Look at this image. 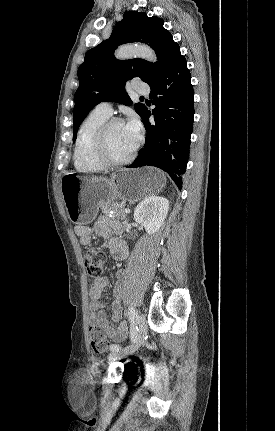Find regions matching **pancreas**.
Listing matches in <instances>:
<instances>
[{
  "instance_id": "cf45deb5",
  "label": "pancreas",
  "mask_w": 275,
  "mask_h": 431,
  "mask_svg": "<svg viewBox=\"0 0 275 431\" xmlns=\"http://www.w3.org/2000/svg\"><path fill=\"white\" fill-rule=\"evenodd\" d=\"M100 208L106 215L112 213L115 217L120 219L126 218V213L123 212L124 205L117 201L112 202H101Z\"/></svg>"
}]
</instances>
